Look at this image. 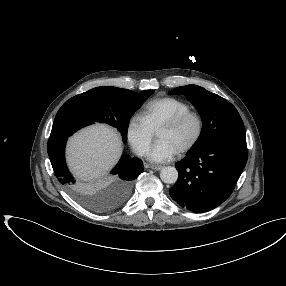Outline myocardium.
Here are the masks:
<instances>
[{
  "instance_id": "obj_1",
  "label": "myocardium",
  "mask_w": 286,
  "mask_h": 286,
  "mask_svg": "<svg viewBox=\"0 0 286 286\" xmlns=\"http://www.w3.org/2000/svg\"><path fill=\"white\" fill-rule=\"evenodd\" d=\"M191 119H193L196 122L197 126L196 133L192 138V140L179 151V153L181 154L191 151L201 140L204 132V120L201 114L196 111H191V110L187 111L185 113H182L167 120L165 123L161 125V127L158 130L159 132L162 129L176 128Z\"/></svg>"
}]
</instances>
